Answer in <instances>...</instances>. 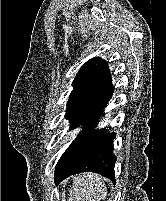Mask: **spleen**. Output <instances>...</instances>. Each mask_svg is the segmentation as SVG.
<instances>
[{"instance_id": "spleen-1", "label": "spleen", "mask_w": 166, "mask_h": 201, "mask_svg": "<svg viewBox=\"0 0 166 201\" xmlns=\"http://www.w3.org/2000/svg\"><path fill=\"white\" fill-rule=\"evenodd\" d=\"M106 196L103 178L93 173L77 176L70 190V201H100Z\"/></svg>"}]
</instances>
